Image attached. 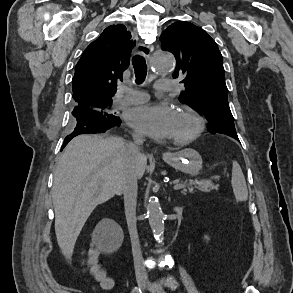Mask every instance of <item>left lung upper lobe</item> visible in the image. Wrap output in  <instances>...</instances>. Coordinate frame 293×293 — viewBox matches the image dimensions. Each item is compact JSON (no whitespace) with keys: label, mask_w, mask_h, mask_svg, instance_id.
Returning a JSON list of instances; mask_svg holds the SVG:
<instances>
[{"label":"left lung upper lobe","mask_w":293,"mask_h":293,"mask_svg":"<svg viewBox=\"0 0 293 293\" xmlns=\"http://www.w3.org/2000/svg\"><path fill=\"white\" fill-rule=\"evenodd\" d=\"M160 40L162 49L175 55L173 78L185 85L180 101L208 118L210 132L236 134L223 58L216 42L202 28L182 21L168 26Z\"/></svg>","instance_id":"left-lung-upper-lobe-1"}]
</instances>
